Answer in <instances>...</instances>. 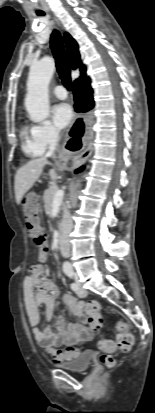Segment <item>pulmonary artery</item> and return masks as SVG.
<instances>
[{
  "mask_svg": "<svg viewBox=\"0 0 155 413\" xmlns=\"http://www.w3.org/2000/svg\"><path fill=\"white\" fill-rule=\"evenodd\" d=\"M53 94L59 99H66L67 98V91L63 86H56L53 90Z\"/></svg>",
  "mask_w": 155,
  "mask_h": 413,
  "instance_id": "1",
  "label": "pulmonary artery"
}]
</instances>
